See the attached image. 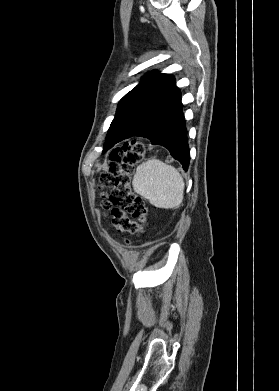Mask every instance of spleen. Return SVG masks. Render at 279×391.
<instances>
[{
	"label": "spleen",
	"instance_id": "1",
	"mask_svg": "<svg viewBox=\"0 0 279 391\" xmlns=\"http://www.w3.org/2000/svg\"><path fill=\"white\" fill-rule=\"evenodd\" d=\"M132 185L134 191L159 208L178 207L184 196V180L178 170L158 159L143 162L137 167Z\"/></svg>",
	"mask_w": 279,
	"mask_h": 391
}]
</instances>
